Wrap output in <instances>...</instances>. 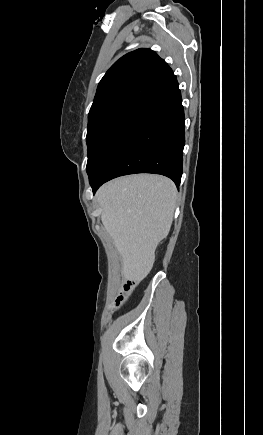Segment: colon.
Listing matches in <instances>:
<instances>
[{
	"mask_svg": "<svg viewBox=\"0 0 263 435\" xmlns=\"http://www.w3.org/2000/svg\"><path fill=\"white\" fill-rule=\"evenodd\" d=\"M135 288V282L133 281H125L122 286V291L118 298L116 299L115 306L120 307L130 298L133 290Z\"/></svg>",
	"mask_w": 263,
	"mask_h": 435,
	"instance_id": "colon-1",
	"label": "colon"
}]
</instances>
